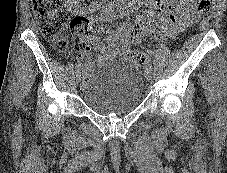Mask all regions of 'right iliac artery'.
I'll list each match as a JSON object with an SVG mask.
<instances>
[{
  "label": "right iliac artery",
  "mask_w": 227,
  "mask_h": 173,
  "mask_svg": "<svg viewBox=\"0 0 227 173\" xmlns=\"http://www.w3.org/2000/svg\"><path fill=\"white\" fill-rule=\"evenodd\" d=\"M82 67H83V65H82L81 63H78V64L76 65V70H77V71H80V70L82 69Z\"/></svg>",
  "instance_id": "82829eb1"
}]
</instances>
